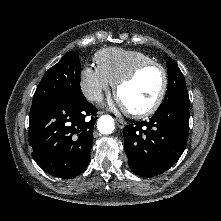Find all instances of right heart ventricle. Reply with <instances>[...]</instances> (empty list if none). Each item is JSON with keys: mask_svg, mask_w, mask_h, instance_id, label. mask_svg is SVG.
Masks as SVG:
<instances>
[{"mask_svg": "<svg viewBox=\"0 0 221 221\" xmlns=\"http://www.w3.org/2000/svg\"><path fill=\"white\" fill-rule=\"evenodd\" d=\"M150 61L152 58L141 51L119 48H107L95 55L96 68L112 85L137 65Z\"/></svg>", "mask_w": 221, "mask_h": 221, "instance_id": "obj_1", "label": "right heart ventricle"}]
</instances>
